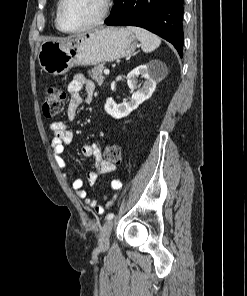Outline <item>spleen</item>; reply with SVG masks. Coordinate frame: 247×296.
<instances>
[{
  "instance_id": "spleen-1",
  "label": "spleen",
  "mask_w": 247,
  "mask_h": 296,
  "mask_svg": "<svg viewBox=\"0 0 247 296\" xmlns=\"http://www.w3.org/2000/svg\"><path fill=\"white\" fill-rule=\"evenodd\" d=\"M127 29L135 34L141 42L142 50L146 53L154 51L161 44V39L157 35L143 28L130 26Z\"/></svg>"
}]
</instances>
